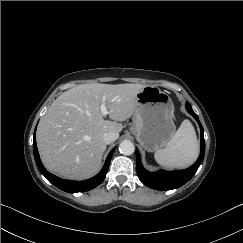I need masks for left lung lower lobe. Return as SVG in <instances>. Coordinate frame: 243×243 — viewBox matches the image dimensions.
I'll list each match as a JSON object with an SVG mask.
<instances>
[{"label":"left lung lower lobe","instance_id":"left-lung-lower-lobe-1","mask_svg":"<svg viewBox=\"0 0 243 243\" xmlns=\"http://www.w3.org/2000/svg\"><path fill=\"white\" fill-rule=\"evenodd\" d=\"M186 109L188 113H190L198 122L201 130V143H200V156L198 160L189 168L184 170H175L171 172L166 171H159L157 173H150L149 171L145 170L142 166L140 161L139 153L136 150V170L137 175L140 181L156 190L165 191V190H172L181 187L186 182H188L193 175L196 173L197 169L201 165L204 154H205V140H204V130L199 121L197 114L192 110L189 103H186Z\"/></svg>","mask_w":243,"mask_h":243}]
</instances>
